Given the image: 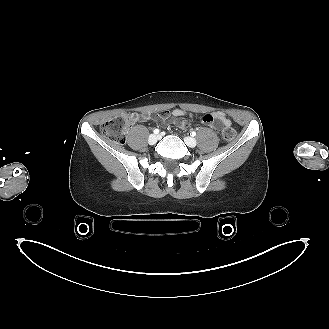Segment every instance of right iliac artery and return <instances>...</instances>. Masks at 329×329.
Masks as SVG:
<instances>
[{
    "label": "right iliac artery",
    "mask_w": 329,
    "mask_h": 329,
    "mask_svg": "<svg viewBox=\"0 0 329 329\" xmlns=\"http://www.w3.org/2000/svg\"><path fill=\"white\" fill-rule=\"evenodd\" d=\"M154 134H158L159 133V129H154Z\"/></svg>",
    "instance_id": "right-iliac-artery-1"
}]
</instances>
